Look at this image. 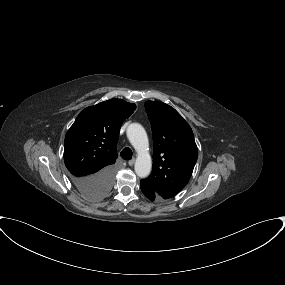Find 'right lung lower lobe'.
I'll return each mask as SVG.
<instances>
[{
  "instance_id": "1",
  "label": "right lung lower lobe",
  "mask_w": 285,
  "mask_h": 285,
  "mask_svg": "<svg viewBox=\"0 0 285 285\" xmlns=\"http://www.w3.org/2000/svg\"><path fill=\"white\" fill-rule=\"evenodd\" d=\"M115 166H109L96 174L86 177L71 176V180L81 194L91 197L96 194L108 193L113 185Z\"/></svg>"
}]
</instances>
